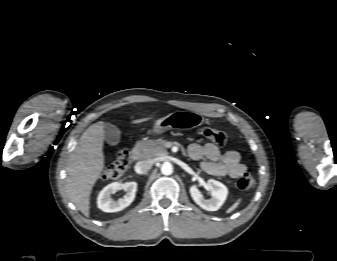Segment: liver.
I'll return each instance as SVG.
<instances>
[{"mask_svg": "<svg viewBox=\"0 0 337 261\" xmlns=\"http://www.w3.org/2000/svg\"><path fill=\"white\" fill-rule=\"evenodd\" d=\"M132 121L138 124L149 120ZM104 122L92 124L80 137L67 165L66 192L71 202L86 216L90 215V195L104 169Z\"/></svg>", "mask_w": 337, "mask_h": 261, "instance_id": "obj_1", "label": "liver"}]
</instances>
